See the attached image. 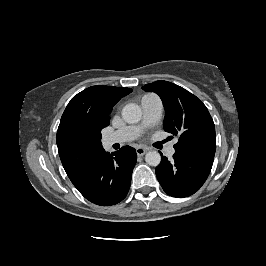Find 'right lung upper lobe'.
<instances>
[{
	"label": "right lung upper lobe",
	"mask_w": 266,
	"mask_h": 266,
	"mask_svg": "<svg viewBox=\"0 0 266 266\" xmlns=\"http://www.w3.org/2000/svg\"><path fill=\"white\" fill-rule=\"evenodd\" d=\"M131 91L92 86L74 96L63 112L56 142L62 165L77 189L88 181L105 153L101 130L109 125L112 107Z\"/></svg>",
	"instance_id": "right-lung-upper-lobe-1"
}]
</instances>
